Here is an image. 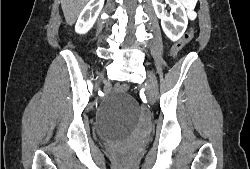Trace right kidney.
<instances>
[{
    "mask_svg": "<svg viewBox=\"0 0 250 169\" xmlns=\"http://www.w3.org/2000/svg\"><path fill=\"white\" fill-rule=\"evenodd\" d=\"M104 0H89L83 10H81L78 20L75 24L76 32L85 34L93 26L102 6Z\"/></svg>",
    "mask_w": 250,
    "mask_h": 169,
    "instance_id": "1",
    "label": "right kidney"
}]
</instances>
